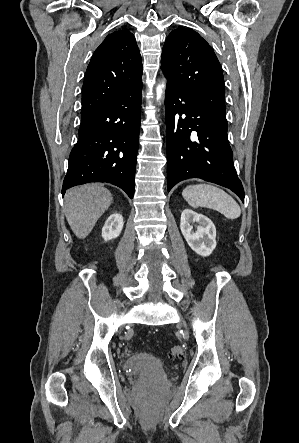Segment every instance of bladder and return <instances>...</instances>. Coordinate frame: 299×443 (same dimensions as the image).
Here are the masks:
<instances>
[{
	"instance_id": "bladder-1",
	"label": "bladder",
	"mask_w": 299,
	"mask_h": 443,
	"mask_svg": "<svg viewBox=\"0 0 299 443\" xmlns=\"http://www.w3.org/2000/svg\"><path fill=\"white\" fill-rule=\"evenodd\" d=\"M124 372L137 375L150 381H163L166 373L159 361L147 353H135L128 357L123 364Z\"/></svg>"
}]
</instances>
